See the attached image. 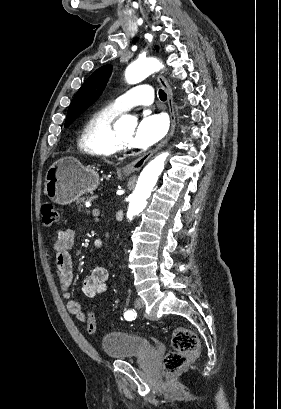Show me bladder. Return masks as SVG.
<instances>
[{"instance_id": "obj_1", "label": "bladder", "mask_w": 281, "mask_h": 409, "mask_svg": "<svg viewBox=\"0 0 281 409\" xmlns=\"http://www.w3.org/2000/svg\"><path fill=\"white\" fill-rule=\"evenodd\" d=\"M99 347L107 358L115 361L130 360L132 355H156V346L150 338L123 330L102 334Z\"/></svg>"}]
</instances>
